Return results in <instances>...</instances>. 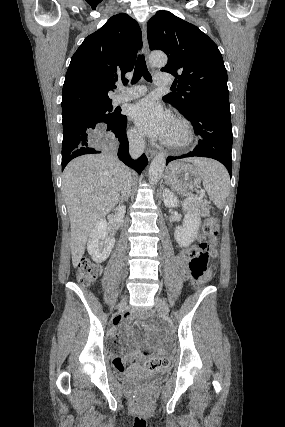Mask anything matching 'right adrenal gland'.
Returning <instances> with one entry per match:
<instances>
[{"label": "right adrenal gland", "instance_id": "1", "mask_svg": "<svg viewBox=\"0 0 285 427\" xmlns=\"http://www.w3.org/2000/svg\"><path fill=\"white\" fill-rule=\"evenodd\" d=\"M128 200V197L125 199V201H127ZM121 201H123V199L121 198Z\"/></svg>", "mask_w": 285, "mask_h": 427}]
</instances>
